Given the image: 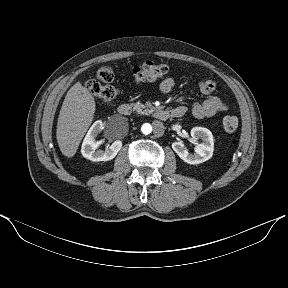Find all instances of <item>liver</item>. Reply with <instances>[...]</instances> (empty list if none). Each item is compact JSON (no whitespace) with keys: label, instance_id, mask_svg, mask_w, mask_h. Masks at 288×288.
I'll return each mask as SVG.
<instances>
[{"label":"liver","instance_id":"1","mask_svg":"<svg viewBox=\"0 0 288 288\" xmlns=\"http://www.w3.org/2000/svg\"><path fill=\"white\" fill-rule=\"evenodd\" d=\"M95 107L94 97L80 82L68 90L59 113L56 130L57 142L64 156L75 155L93 121Z\"/></svg>","mask_w":288,"mask_h":288}]
</instances>
